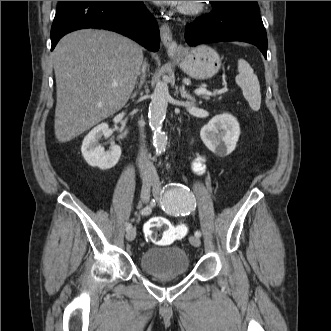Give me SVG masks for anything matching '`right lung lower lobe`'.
Returning a JSON list of instances; mask_svg holds the SVG:
<instances>
[{
	"instance_id": "obj_1",
	"label": "right lung lower lobe",
	"mask_w": 331,
	"mask_h": 331,
	"mask_svg": "<svg viewBox=\"0 0 331 331\" xmlns=\"http://www.w3.org/2000/svg\"><path fill=\"white\" fill-rule=\"evenodd\" d=\"M84 28L115 31L149 50L159 49L158 24L142 1H59L51 50L65 34Z\"/></svg>"
}]
</instances>
